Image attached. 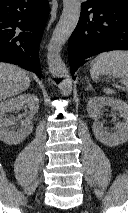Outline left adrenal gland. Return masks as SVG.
<instances>
[{
  "label": "left adrenal gland",
  "instance_id": "a2214340",
  "mask_svg": "<svg viewBox=\"0 0 128 213\" xmlns=\"http://www.w3.org/2000/svg\"><path fill=\"white\" fill-rule=\"evenodd\" d=\"M87 83H88V87L86 88V90H93L92 85L89 82Z\"/></svg>",
  "mask_w": 128,
  "mask_h": 213
}]
</instances>
